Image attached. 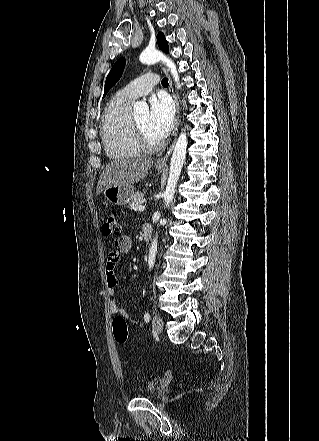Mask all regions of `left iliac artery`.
Instances as JSON below:
<instances>
[{"label":"left iliac artery","instance_id":"obj_1","mask_svg":"<svg viewBox=\"0 0 319 441\" xmlns=\"http://www.w3.org/2000/svg\"><path fill=\"white\" fill-rule=\"evenodd\" d=\"M144 321L146 322V323H148L149 321H150V315H149V313H145L144 314Z\"/></svg>","mask_w":319,"mask_h":441}]
</instances>
